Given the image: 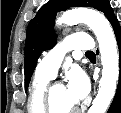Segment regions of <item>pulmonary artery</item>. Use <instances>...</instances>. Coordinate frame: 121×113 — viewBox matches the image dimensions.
Wrapping results in <instances>:
<instances>
[{
  "mask_svg": "<svg viewBox=\"0 0 121 113\" xmlns=\"http://www.w3.org/2000/svg\"><path fill=\"white\" fill-rule=\"evenodd\" d=\"M92 49V41L88 34H71L44 55L37 66L36 72L52 78L56 75L66 53L72 50L92 51Z\"/></svg>",
  "mask_w": 121,
  "mask_h": 113,
  "instance_id": "pulmonary-artery-1",
  "label": "pulmonary artery"
}]
</instances>
